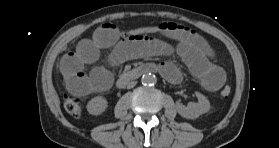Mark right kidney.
<instances>
[{
    "label": "right kidney",
    "mask_w": 279,
    "mask_h": 148,
    "mask_svg": "<svg viewBox=\"0 0 279 148\" xmlns=\"http://www.w3.org/2000/svg\"><path fill=\"white\" fill-rule=\"evenodd\" d=\"M108 106L107 100L102 96L92 98L87 104V110L92 115L102 114Z\"/></svg>",
    "instance_id": "ca27d5eb"
}]
</instances>
